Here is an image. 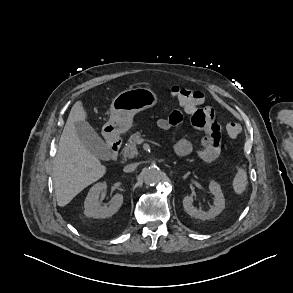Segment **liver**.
<instances>
[{
  "instance_id": "liver-1",
  "label": "liver",
  "mask_w": 293,
  "mask_h": 293,
  "mask_svg": "<svg viewBox=\"0 0 293 293\" xmlns=\"http://www.w3.org/2000/svg\"><path fill=\"white\" fill-rule=\"evenodd\" d=\"M86 117L82 102H76L59 140L53 161V182L60 207L70 203L77 194L102 178L107 171L106 166L84 147L76 134L75 122L85 121Z\"/></svg>"
}]
</instances>
